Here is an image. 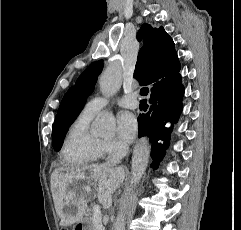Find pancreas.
Instances as JSON below:
<instances>
[{"mask_svg":"<svg viewBox=\"0 0 241 230\" xmlns=\"http://www.w3.org/2000/svg\"><path fill=\"white\" fill-rule=\"evenodd\" d=\"M87 221H88L89 223H91V225H92V230H99V228L94 224L92 217H88V218H87Z\"/></svg>","mask_w":241,"mask_h":230,"instance_id":"cf45deb5","label":"pancreas"}]
</instances>
